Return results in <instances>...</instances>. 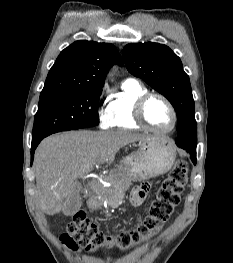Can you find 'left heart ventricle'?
I'll return each instance as SVG.
<instances>
[{
  "instance_id": "1",
  "label": "left heart ventricle",
  "mask_w": 233,
  "mask_h": 263,
  "mask_svg": "<svg viewBox=\"0 0 233 263\" xmlns=\"http://www.w3.org/2000/svg\"><path fill=\"white\" fill-rule=\"evenodd\" d=\"M145 116L150 125L157 129L165 130L172 124L171 112L159 98H153L148 102Z\"/></svg>"
}]
</instances>
